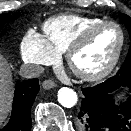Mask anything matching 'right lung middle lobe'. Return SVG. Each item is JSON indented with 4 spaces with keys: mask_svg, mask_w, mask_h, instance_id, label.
Returning <instances> with one entry per match:
<instances>
[{
    "mask_svg": "<svg viewBox=\"0 0 131 131\" xmlns=\"http://www.w3.org/2000/svg\"><path fill=\"white\" fill-rule=\"evenodd\" d=\"M19 17V13L10 17L9 14H0V28L8 21L15 20Z\"/></svg>",
    "mask_w": 131,
    "mask_h": 131,
    "instance_id": "1",
    "label": "right lung middle lobe"
}]
</instances>
